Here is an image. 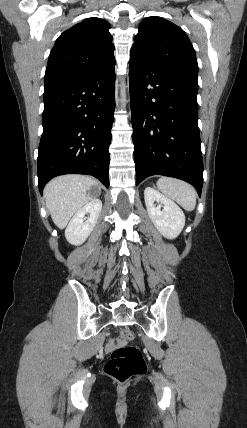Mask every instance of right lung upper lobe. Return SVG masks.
<instances>
[{
	"label": "right lung upper lobe",
	"mask_w": 247,
	"mask_h": 428,
	"mask_svg": "<svg viewBox=\"0 0 247 428\" xmlns=\"http://www.w3.org/2000/svg\"><path fill=\"white\" fill-rule=\"evenodd\" d=\"M110 27L94 17L63 32L51 50L44 86L81 79L115 60Z\"/></svg>",
	"instance_id": "obj_1"
}]
</instances>
